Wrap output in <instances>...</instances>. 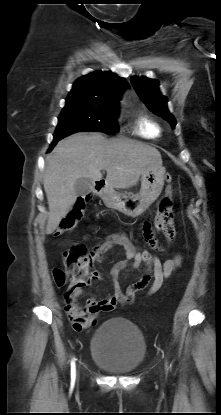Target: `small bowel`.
<instances>
[{
  "label": "small bowel",
  "instance_id": "small-bowel-1",
  "mask_svg": "<svg viewBox=\"0 0 221 415\" xmlns=\"http://www.w3.org/2000/svg\"><path fill=\"white\" fill-rule=\"evenodd\" d=\"M142 230L144 240L149 249H141L125 233H113L105 237L91 251L93 259L99 260L102 254L108 250L120 247L126 259L117 262L110 271L113 295L108 298L101 300L89 298L86 305L81 306L77 299L84 292V286L70 285L67 288L64 295L65 310L75 330L81 331L94 325L101 312L113 311L118 304L133 303L136 299V293L145 289L150 280H152V283L147 295L156 293L164 286L166 279L181 265L182 257L180 255L175 256L173 259L162 261L153 253L154 251L163 252L167 249L158 242L156 233H153L154 224L146 221L143 224ZM160 231L163 232L167 243L171 244L176 236L173 219ZM143 264L146 266L144 274L123 292L118 281L119 273L126 268H139ZM93 278L98 279V273L94 272Z\"/></svg>",
  "mask_w": 221,
  "mask_h": 415
}]
</instances>
